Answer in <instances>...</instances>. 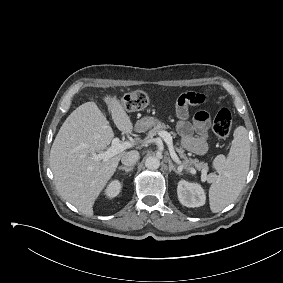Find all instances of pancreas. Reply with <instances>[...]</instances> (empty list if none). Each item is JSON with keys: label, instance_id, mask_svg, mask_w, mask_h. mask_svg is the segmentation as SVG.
I'll list each match as a JSON object with an SVG mask.
<instances>
[{"label": "pancreas", "instance_id": "cf45deb5", "mask_svg": "<svg viewBox=\"0 0 283 283\" xmlns=\"http://www.w3.org/2000/svg\"><path fill=\"white\" fill-rule=\"evenodd\" d=\"M170 127L168 125H165L164 123H158L154 126L153 129H151L148 133V138L153 137L156 134H159L163 129H169ZM171 134L173 135V137H176V133L175 132H171ZM177 151L180 155V157L182 159H184V163L186 166H188L189 168H196L197 170H200L202 172V176L201 179L203 181H208V182H212V175H206V173L209 170L208 164L204 163V162H200L198 159H191L188 158L186 156V154L184 153V149L182 147L177 148Z\"/></svg>", "mask_w": 283, "mask_h": 283}]
</instances>
